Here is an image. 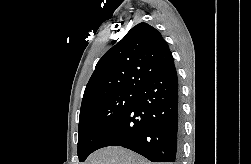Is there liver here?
Returning a JSON list of instances; mask_svg holds the SVG:
<instances>
[{"label": "liver", "mask_w": 251, "mask_h": 164, "mask_svg": "<svg viewBox=\"0 0 251 164\" xmlns=\"http://www.w3.org/2000/svg\"><path fill=\"white\" fill-rule=\"evenodd\" d=\"M84 164H151L142 156L122 147H105L92 153Z\"/></svg>", "instance_id": "obj_1"}]
</instances>
